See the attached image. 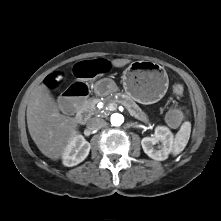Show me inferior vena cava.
Wrapping results in <instances>:
<instances>
[{"mask_svg": "<svg viewBox=\"0 0 221 221\" xmlns=\"http://www.w3.org/2000/svg\"><path fill=\"white\" fill-rule=\"evenodd\" d=\"M105 125V121L102 118L93 117L88 120L87 127L91 130L100 129Z\"/></svg>", "mask_w": 221, "mask_h": 221, "instance_id": "obj_1", "label": "inferior vena cava"}]
</instances>
